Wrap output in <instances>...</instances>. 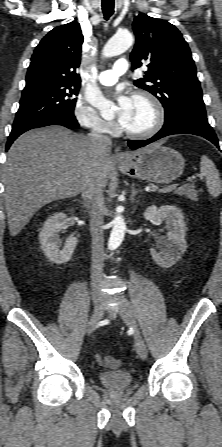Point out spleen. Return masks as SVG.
<instances>
[{"label":"spleen","instance_id":"1","mask_svg":"<svg viewBox=\"0 0 222 447\" xmlns=\"http://www.w3.org/2000/svg\"><path fill=\"white\" fill-rule=\"evenodd\" d=\"M200 166L201 174L206 179L209 194L214 198L219 196L222 192V183L215 164L206 155H203Z\"/></svg>","mask_w":222,"mask_h":447}]
</instances>
